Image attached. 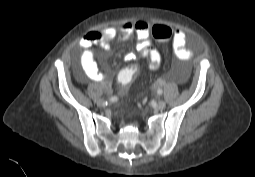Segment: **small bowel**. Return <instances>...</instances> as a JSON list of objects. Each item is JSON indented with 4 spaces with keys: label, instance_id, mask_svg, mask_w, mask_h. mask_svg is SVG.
Wrapping results in <instances>:
<instances>
[{
    "label": "small bowel",
    "instance_id": "small-bowel-1",
    "mask_svg": "<svg viewBox=\"0 0 255 177\" xmlns=\"http://www.w3.org/2000/svg\"><path fill=\"white\" fill-rule=\"evenodd\" d=\"M135 35L137 39V50L142 58L149 60V69L157 70L161 64V56L157 50H155L150 43V26L145 21L126 22L120 29H116L113 26L104 28L101 32H90L83 37L79 42L80 49V69L82 73L89 79L97 82L106 81L107 76L103 73L94 57L93 46L99 45L104 50L110 48L109 41L113 40L117 36L121 40H126L130 36ZM173 49L176 57L181 61H187L191 57V52L185 48L186 34L180 29H176L173 34ZM136 54L129 52L125 55V60L132 62L136 59ZM76 75L80 80H83V76L79 70H76ZM109 86L106 87L109 90Z\"/></svg>",
    "mask_w": 255,
    "mask_h": 177
}]
</instances>
